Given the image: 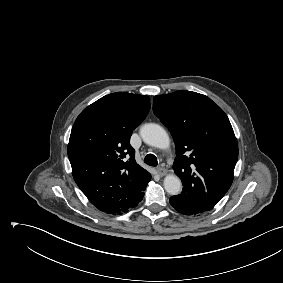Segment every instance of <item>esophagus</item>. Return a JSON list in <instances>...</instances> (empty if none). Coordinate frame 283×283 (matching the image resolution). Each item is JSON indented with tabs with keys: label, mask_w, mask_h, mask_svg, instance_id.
<instances>
[{
	"label": "esophagus",
	"mask_w": 283,
	"mask_h": 283,
	"mask_svg": "<svg viewBox=\"0 0 283 283\" xmlns=\"http://www.w3.org/2000/svg\"><path fill=\"white\" fill-rule=\"evenodd\" d=\"M157 172L160 176H164L167 173V170L165 168L159 167L157 168Z\"/></svg>",
	"instance_id": "obj_1"
}]
</instances>
